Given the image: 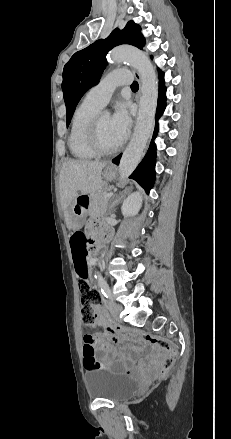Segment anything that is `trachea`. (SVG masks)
<instances>
[{"label": "trachea", "mask_w": 231, "mask_h": 439, "mask_svg": "<svg viewBox=\"0 0 231 439\" xmlns=\"http://www.w3.org/2000/svg\"><path fill=\"white\" fill-rule=\"evenodd\" d=\"M138 87H139V85H138V82H137V81H134V82L132 83V85H131V88H132V89H137V90H138Z\"/></svg>", "instance_id": "1"}]
</instances>
